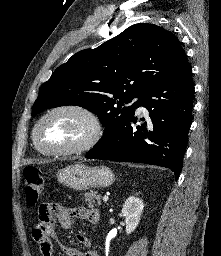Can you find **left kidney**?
<instances>
[{"instance_id":"5707ae66","label":"left kidney","mask_w":221,"mask_h":256,"mask_svg":"<svg viewBox=\"0 0 221 256\" xmlns=\"http://www.w3.org/2000/svg\"><path fill=\"white\" fill-rule=\"evenodd\" d=\"M143 208V201L134 196H130L123 204L122 214L125 216L127 235L137 228Z\"/></svg>"}]
</instances>
